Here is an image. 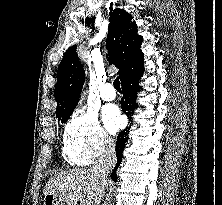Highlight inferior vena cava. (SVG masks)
I'll return each mask as SVG.
<instances>
[{
    "label": "inferior vena cava",
    "mask_w": 222,
    "mask_h": 205,
    "mask_svg": "<svg viewBox=\"0 0 222 205\" xmlns=\"http://www.w3.org/2000/svg\"><path fill=\"white\" fill-rule=\"evenodd\" d=\"M115 163V144L112 139L107 138L104 141V146L101 154L93 164V171L105 185L107 184L108 175L114 168Z\"/></svg>",
    "instance_id": "obj_1"
}]
</instances>
